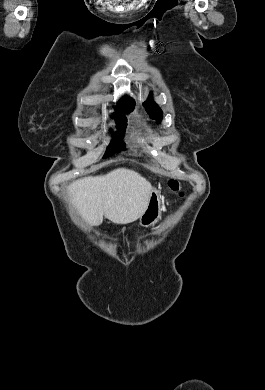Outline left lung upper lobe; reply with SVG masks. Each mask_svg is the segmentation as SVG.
Wrapping results in <instances>:
<instances>
[{
  "instance_id": "5c2ea615",
  "label": "left lung upper lobe",
  "mask_w": 265,
  "mask_h": 390,
  "mask_svg": "<svg viewBox=\"0 0 265 390\" xmlns=\"http://www.w3.org/2000/svg\"><path fill=\"white\" fill-rule=\"evenodd\" d=\"M143 106L145 107L151 118L156 119V121L162 120L163 113L151 98L145 101L143 103Z\"/></svg>"
}]
</instances>
